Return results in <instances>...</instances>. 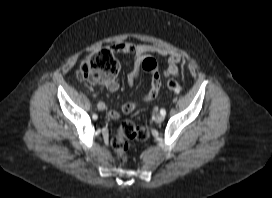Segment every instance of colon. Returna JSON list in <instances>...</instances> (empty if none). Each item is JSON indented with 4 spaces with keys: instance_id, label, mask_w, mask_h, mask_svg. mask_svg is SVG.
Returning <instances> with one entry per match:
<instances>
[{
    "instance_id": "1",
    "label": "colon",
    "mask_w": 272,
    "mask_h": 198,
    "mask_svg": "<svg viewBox=\"0 0 272 198\" xmlns=\"http://www.w3.org/2000/svg\"><path fill=\"white\" fill-rule=\"evenodd\" d=\"M143 70L150 74L157 70V64L153 59H145L142 63ZM119 62L113 50L104 48L88 56L77 70V78L80 82L89 84H106L113 80L119 72ZM170 92L178 94L181 86L174 80L167 83ZM149 137V130L145 126H136L132 121H124L116 135L111 140V147L119 163L127 160V140L144 141Z\"/></svg>"
}]
</instances>
